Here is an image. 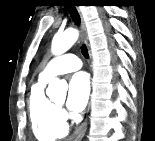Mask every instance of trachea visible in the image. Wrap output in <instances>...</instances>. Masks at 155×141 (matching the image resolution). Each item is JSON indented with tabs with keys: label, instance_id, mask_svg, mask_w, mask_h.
I'll use <instances>...</instances> for the list:
<instances>
[{
	"label": "trachea",
	"instance_id": "trachea-1",
	"mask_svg": "<svg viewBox=\"0 0 155 141\" xmlns=\"http://www.w3.org/2000/svg\"><path fill=\"white\" fill-rule=\"evenodd\" d=\"M65 8L68 11V13L70 14L73 21L76 24H79L80 23V17H79V14H78L76 8L74 6H71V5H67V6H65ZM81 52L85 58H89V54H88V50H87L86 46H84V45L82 46Z\"/></svg>",
	"mask_w": 155,
	"mask_h": 141
}]
</instances>
